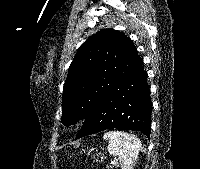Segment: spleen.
<instances>
[{
  "label": "spleen",
  "instance_id": "1",
  "mask_svg": "<svg viewBox=\"0 0 200 169\" xmlns=\"http://www.w3.org/2000/svg\"><path fill=\"white\" fill-rule=\"evenodd\" d=\"M108 140V152L115 156L122 169H132L134 166L140 149L141 141L133 134L123 131H109L103 136Z\"/></svg>",
  "mask_w": 200,
  "mask_h": 169
}]
</instances>
